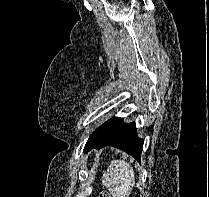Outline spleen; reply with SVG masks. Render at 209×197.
Listing matches in <instances>:
<instances>
[{
  "label": "spleen",
  "mask_w": 209,
  "mask_h": 197,
  "mask_svg": "<svg viewBox=\"0 0 209 197\" xmlns=\"http://www.w3.org/2000/svg\"><path fill=\"white\" fill-rule=\"evenodd\" d=\"M102 184L113 197H128L135 185L134 170L124 160H112L102 176Z\"/></svg>",
  "instance_id": "1"
}]
</instances>
